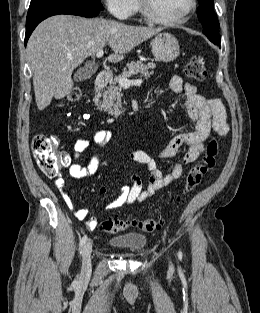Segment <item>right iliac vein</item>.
<instances>
[{"label":"right iliac vein","instance_id":"1","mask_svg":"<svg viewBox=\"0 0 260 313\" xmlns=\"http://www.w3.org/2000/svg\"><path fill=\"white\" fill-rule=\"evenodd\" d=\"M91 250H92V244L90 241H88L82 250L81 277L84 279H88L91 275V270H92Z\"/></svg>","mask_w":260,"mask_h":313}]
</instances>
